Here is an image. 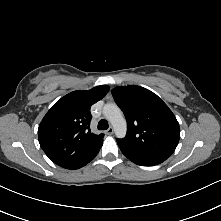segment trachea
Returning <instances> with one entry per match:
<instances>
[{"label": "trachea", "instance_id": "obj_1", "mask_svg": "<svg viewBox=\"0 0 221 221\" xmlns=\"http://www.w3.org/2000/svg\"><path fill=\"white\" fill-rule=\"evenodd\" d=\"M109 125L108 122L105 119H101L98 123V129L99 130H106L108 129Z\"/></svg>", "mask_w": 221, "mask_h": 221}]
</instances>
